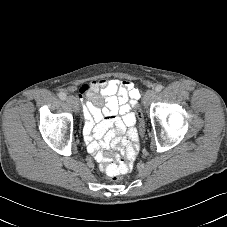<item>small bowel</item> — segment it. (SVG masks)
Instances as JSON below:
<instances>
[{"mask_svg": "<svg viewBox=\"0 0 227 227\" xmlns=\"http://www.w3.org/2000/svg\"><path fill=\"white\" fill-rule=\"evenodd\" d=\"M80 94L85 100L83 133L89 152L103 164L106 150L122 148L132 161L137 151L132 141L138 134L132 133L137 131L131 109L141 98V91L129 80L100 79L82 85Z\"/></svg>", "mask_w": 227, "mask_h": 227, "instance_id": "1", "label": "small bowel"}]
</instances>
